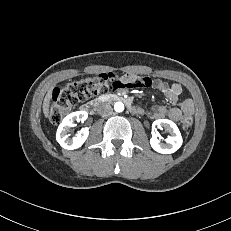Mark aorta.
Listing matches in <instances>:
<instances>
[{"mask_svg": "<svg viewBox=\"0 0 231 231\" xmlns=\"http://www.w3.org/2000/svg\"><path fill=\"white\" fill-rule=\"evenodd\" d=\"M114 110L116 111V112H123L124 111V104L122 103V102H116L115 104H114Z\"/></svg>", "mask_w": 231, "mask_h": 231, "instance_id": "762f6f07", "label": "aorta"}]
</instances>
